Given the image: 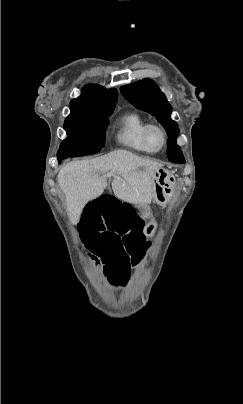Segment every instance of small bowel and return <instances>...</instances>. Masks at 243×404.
Segmentation results:
<instances>
[{
  "label": "small bowel",
  "instance_id": "obj_1",
  "mask_svg": "<svg viewBox=\"0 0 243 404\" xmlns=\"http://www.w3.org/2000/svg\"><path fill=\"white\" fill-rule=\"evenodd\" d=\"M145 222L138 211L113 192L101 194L83 211L79 231L96 265L122 285L148 251Z\"/></svg>",
  "mask_w": 243,
  "mask_h": 404
}]
</instances>
